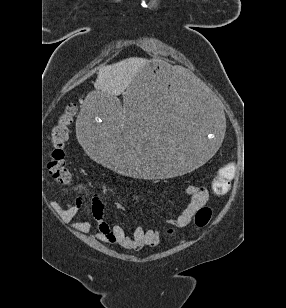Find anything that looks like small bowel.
Returning <instances> with one entry per match:
<instances>
[{
    "mask_svg": "<svg viewBox=\"0 0 286 308\" xmlns=\"http://www.w3.org/2000/svg\"><path fill=\"white\" fill-rule=\"evenodd\" d=\"M186 193L190 197V202L178 217L169 220V224L176 228H184L189 225L195 212L206 204L209 198L208 190L198 185H189L186 188ZM82 203V198H78L74 205L65 208L57 206V208L63 220L69 222L76 217L82 207ZM114 207L118 210L125 209V206L121 202H115ZM91 210L94 219L99 222L96 236L103 242L116 244L124 249L134 251L140 250L143 247H155L160 242L161 235L158 230L144 229L141 226H137L132 236H129L121 226H109L105 223L102 220L104 204L98 195L93 198ZM91 227L92 224L90 221H80L73 224V228L81 233L88 232Z\"/></svg>",
    "mask_w": 286,
    "mask_h": 308,
    "instance_id": "c3829d8e",
    "label": "small bowel"
}]
</instances>
